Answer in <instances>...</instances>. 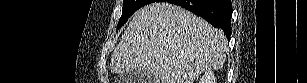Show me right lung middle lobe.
<instances>
[{"label":"right lung middle lobe","instance_id":"1","mask_svg":"<svg viewBox=\"0 0 307 83\" xmlns=\"http://www.w3.org/2000/svg\"><path fill=\"white\" fill-rule=\"evenodd\" d=\"M152 2H154V0H123V12L118 22V28H120L137 9Z\"/></svg>","mask_w":307,"mask_h":83}]
</instances>
